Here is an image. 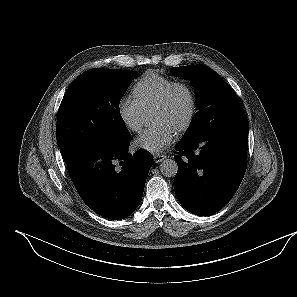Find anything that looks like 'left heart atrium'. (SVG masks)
I'll list each match as a JSON object with an SVG mask.
<instances>
[{
  "label": "left heart atrium",
  "instance_id": "left-heart-atrium-1",
  "mask_svg": "<svg viewBox=\"0 0 297 297\" xmlns=\"http://www.w3.org/2000/svg\"><path fill=\"white\" fill-rule=\"evenodd\" d=\"M176 131L165 123H157L144 130L135 140V146L151 153H159L171 145Z\"/></svg>",
  "mask_w": 297,
  "mask_h": 297
}]
</instances>
